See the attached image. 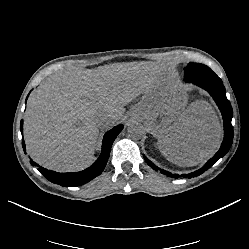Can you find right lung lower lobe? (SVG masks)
Returning a JSON list of instances; mask_svg holds the SVG:
<instances>
[{
    "mask_svg": "<svg viewBox=\"0 0 249 249\" xmlns=\"http://www.w3.org/2000/svg\"><path fill=\"white\" fill-rule=\"evenodd\" d=\"M122 129L123 125H118L104 135L101 155L89 168L81 172L58 173L55 171L47 170L43 167H39L38 170L44 175L46 179L55 184H59L61 186L83 185L102 173L109 159L111 146ZM20 130L21 133H23V120H21L20 123ZM22 146L25 150L24 140H22ZM30 163L34 166H38V164L33 160H31Z\"/></svg>",
    "mask_w": 249,
    "mask_h": 249,
    "instance_id": "1",
    "label": "right lung lower lobe"
}]
</instances>
